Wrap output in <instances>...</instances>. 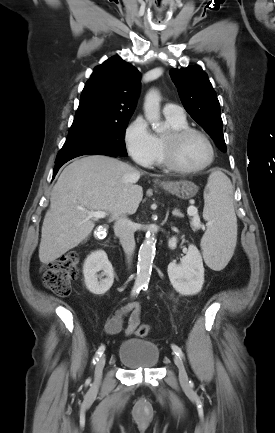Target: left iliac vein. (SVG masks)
<instances>
[{"instance_id":"left-iliac-vein-1","label":"left iliac vein","mask_w":275,"mask_h":433,"mask_svg":"<svg viewBox=\"0 0 275 433\" xmlns=\"http://www.w3.org/2000/svg\"><path fill=\"white\" fill-rule=\"evenodd\" d=\"M174 362H175V365L177 366L178 371H179L180 382L183 384H187L188 383V376H187V372H186L185 366L183 364V361L181 360V358L179 356H175Z\"/></svg>"}]
</instances>
